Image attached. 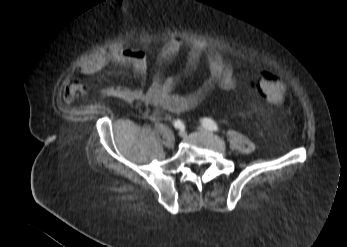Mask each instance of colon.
<instances>
[{
	"mask_svg": "<svg viewBox=\"0 0 347 247\" xmlns=\"http://www.w3.org/2000/svg\"><path fill=\"white\" fill-rule=\"evenodd\" d=\"M258 91L271 105H280L287 98V87L272 69H263L257 74Z\"/></svg>",
	"mask_w": 347,
	"mask_h": 247,
	"instance_id": "colon-1",
	"label": "colon"
}]
</instances>
